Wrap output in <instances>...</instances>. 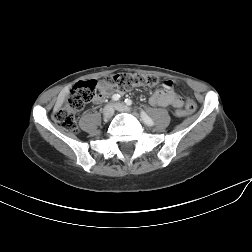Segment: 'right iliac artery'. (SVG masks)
<instances>
[{"label":"right iliac artery","mask_w":252,"mask_h":252,"mask_svg":"<svg viewBox=\"0 0 252 252\" xmlns=\"http://www.w3.org/2000/svg\"><path fill=\"white\" fill-rule=\"evenodd\" d=\"M119 98H120V95H119V94H114V95L112 96V100H113V101H118Z\"/></svg>","instance_id":"right-iliac-artery-1"}]
</instances>
